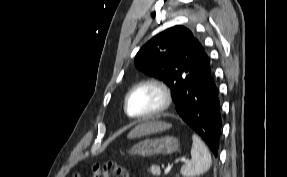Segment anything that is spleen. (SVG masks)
<instances>
[{
  "instance_id": "3e777b00",
  "label": "spleen",
  "mask_w": 287,
  "mask_h": 177,
  "mask_svg": "<svg viewBox=\"0 0 287 177\" xmlns=\"http://www.w3.org/2000/svg\"><path fill=\"white\" fill-rule=\"evenodd\" d=\"M192 160L182 166L180 172L184 177L199 176L207 172L212 164L211 155L205 144L197 135L192 136Z\"/></svg>"
}]
</instances>
